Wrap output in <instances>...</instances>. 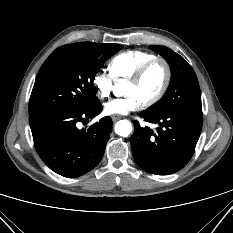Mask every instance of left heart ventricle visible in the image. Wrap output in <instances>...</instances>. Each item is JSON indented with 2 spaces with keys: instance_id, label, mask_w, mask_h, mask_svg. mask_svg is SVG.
<instances>
[{
  "instance_id": "b2bd125f",
  "label": "left heart ventricle",
  "mask_w": 233,
  "mask_h": 233,
  "mask_svg": "<svg viewBox=\"0 0 233 233\" xmlns=\"http://www.w3.org/2000/svg\"><path fill=\"white\" fill-rule=\"evenodd\" d=\"M165 78V69L163 64H154L139 84L128 82L125 94L136 95L142 103L153 98L160 90Z\"/></svg>"
}]
</instances>
